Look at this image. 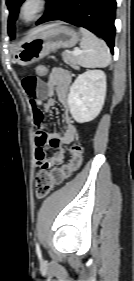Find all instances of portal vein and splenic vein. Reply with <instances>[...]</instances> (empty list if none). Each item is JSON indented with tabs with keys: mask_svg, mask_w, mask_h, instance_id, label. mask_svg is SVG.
I'll list each match as a JSON object with an SVG mask.
<instances>
[{
	"mask_svg": "<svg viewBox=\"0 0 134 281\" xmlns=\"http://www.w3.org/2000/svg\"><path fill=\"white\" fill-rule=\"evenodd\" d=\"M82 53V51L81 50H79V49H75L74 51H72V54L73 55H79V54H81Z\"/></svg>",
	"mask_w": 134,
	"mask_h": 281,
	"instance_id": "18ae733b",
	"label": "portal vein and splenic vein"
}]
</instances>
